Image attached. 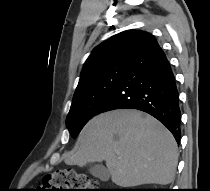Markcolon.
<instances>
[{"mask_svg": "<svg viewBox=\"0 0 210 191\" xmlns=\"http://www.w3.org/2000/svg\"><path fill=\"white\" fill-rule=\"evenodd\" d=\"M40 183L48 191H104L95 180L76 170H62L45 175Z\"/></svg>", "mask_w": 210, "mask_h": 191, "instance_id": "colon-1", "label": "colon"}]
</instances>
